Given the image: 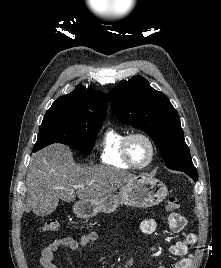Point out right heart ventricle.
<instances>
[{
    "label": "right heart ventricle",
    "mask_w": 221,
    "mask_h": 268,
    "mask_svg": "<svg viewBox=\"0 0 221 268\" xmlns=\"http://www.w3.org/2000/svg\"><path fill=\"white\" fill-rule=\"evenodd\" d=\"M127 135V132L116 128H109L104 133L100 151V160L102 163L123 169L131 168L125 161L122 153L123 140Z\"/></svg>",
    "instance_id": "right-heart-ventricle-1"
}]
</instances>
